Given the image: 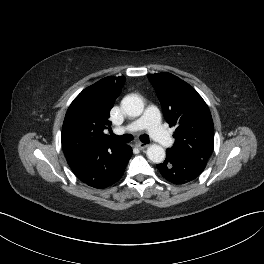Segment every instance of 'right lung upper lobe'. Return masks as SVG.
I'll return each mask as SVG.
<instances>
[{"instance_id": "obj_1", "label": "right lung upper lobe", "mask_w": 264, "mask_h": 264, "mask_svg": "<svg viewBox=\"0 0 264 264\" xmlns=\"http://www.w3.org/2000/svg\"><path fill=\"white\" fill-rule=\"evenodd\" d=\"M125 77H105L84 89L69 106L63 127L62 147L66 157L114 150L123 144L104 134L111 122V108L120 95Z\"/></svg>"}]
</instances>
